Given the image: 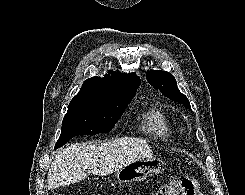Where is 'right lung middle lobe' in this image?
Segmentation results:
<instances>
[{
	"label": "right lung middle lobe",
	"instance_id": "right-lung-middle-lobe-1",
	"mask_svg": "<svg viewBox=\"0 0 245 195\" xmlns=\"http://www.w3.org/2000/svg\"><path fill=\"white\" fill-rule=\"evenodd\" d=\"M130 100L113 102L88 97H74L62 122L55 149L76 135L107 133L112 130Z\"/></svg>",
	"mask_w": 245,
	"mask_h": 195
}]
</instances>
